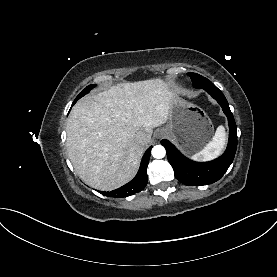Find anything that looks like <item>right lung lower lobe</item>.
Here are the masks:
<instances>
[{
	"label": "right lung lower lobe",
	"mask_w": 277,
	"mask_h": 277,
	"mask_svg": "<svg viewBox=\"0 0 277 277\" xmlns=\"http://www.w3.org/2000/svg\"><path fill=\"white\" fill-rule=\"evenodd\" d=\"M151 149H152V146L149 147L145 152L141 161L139 171L132 181H130L129 183L125 184L124 186L116 190H113L110 192H104V191H99V192L105 196L122 198L142 191L148 182L147 166L150 159Z\"/></svg>",
	"instance_id": "obj_1"
}]
</instances>
